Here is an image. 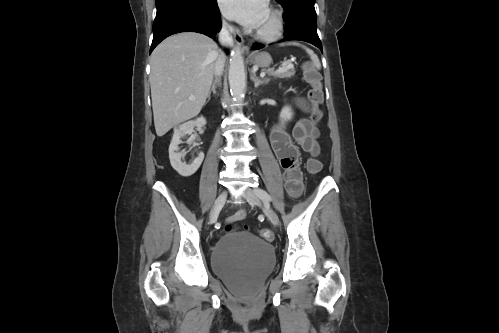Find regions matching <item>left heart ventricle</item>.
I'll list each match as a JSON object with an SVG mask.
<instances>
[{"label": "left heart ventricle", "mask_w": 499, "mask_h": 333, "mask_svg": "<svg viewBox=\"0 0 499 333\" xmlns=\"http://www.w3.org/2000/svg\"><path fill=\"white\" fill-rule=\"evenodd\" d=\"M272 26V20L270 15L267 13L258 28L269 29Z\"/></svg>", "instance_id": "left-heart-ventricle-1"}]
</instances>
